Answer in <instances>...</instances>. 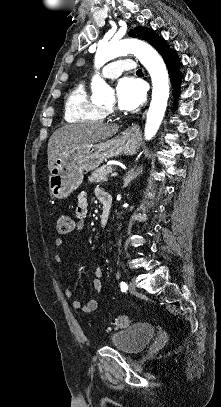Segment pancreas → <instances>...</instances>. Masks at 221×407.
<instances>
[{
  "label": "pancreas",
  "mask_w": 221,
  "mask_h": 407,
  "mask_svg": "<svg viewBox=\"0 0 221 407\" xmlns=\"http://www.w3.org/2000/svg\"><path fill=\"white\" fill-rule=\"evenodd\" d=\"M113 170L114 169L112 166H103L92 172L88 179L91 183L100 181L105 182L108 180V174L111 173Z\"/></svg>",
  "instance_id": "obj_1"
}]
</instances>
